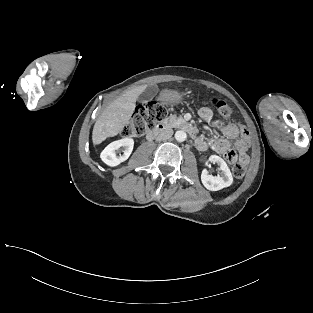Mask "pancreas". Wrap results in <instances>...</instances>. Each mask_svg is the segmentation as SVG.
<instances>
[{
    "instance_id": "1",
    "label": "pancreas",
    "mask_w": 313,
    "mask_h": 313,
    "mask_svg": "<svg viewBox=\"0 0 313 313\" xmlns=\"http://www.w3.org/2000/svg\"><path fill=\"white\" fill-rule=\"evenodd\" d=\"M177 121H182V117H177L176 115L170 116L168 119L165 120L166 123L174 126Z\"/></svg>"
}]
</instances>
